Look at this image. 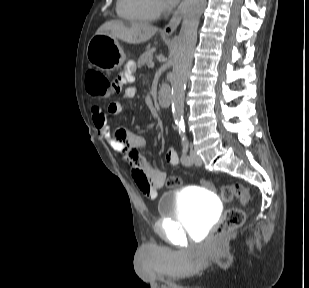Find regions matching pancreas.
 <instances>
[{
  "instance_id": "1",
  "label": "pancreas",
  "mask_w": 309,
  "mask_h": 288,
  "mask_svg": "<svg viewBox=\"0 0 309 288\" xmlns=\"http://www.w3.org/2000/svg\"><path fill=\"white\" fill-rule=\"evenodd\" d=\"M154 52L155 48H152L148 49L145 53H143L138 59V67L140 68L145 64L148 65L150 62H152Z\"/></svg>"
}]
</instances>
